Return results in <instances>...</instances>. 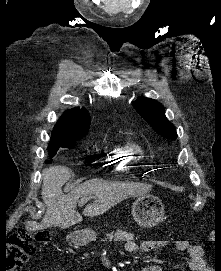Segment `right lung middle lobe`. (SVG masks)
Returning a JSON list of instances; mask_svg holds the SVG:
<instances>
[{"label":"right lung middle lobe","instance_id":"obj_1","mask_svg":"<svg viewBox=\"0 0 221 271\" xmlns=\"http://www.w3.org/2000/svg\"><path fill=\"white\" fill-rule=\"evenodd\" d=\"M78 139H53L51 138L50 144L48 146V150L51 151L50 158H52L57 150L62 147V148H74L75 146V141L79 140ZM51 160H46L45 163H50Z\"/></svg>","mask_w":221,"mask_h":271}]
</instances>
